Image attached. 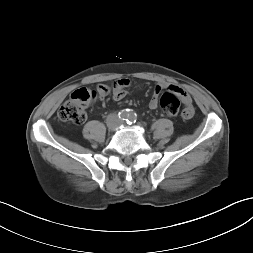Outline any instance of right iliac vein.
Instances as JSON below:
<instances>
[{
  "mask_svg": "<svg viewBox=\"0 0 253 253\" xmlns=\"http://www.w3.org/2000/svg\"><path fill=\"white\" fill-rule=\"evenodd\" d=\"M109 128H110V129H112V128H113V126H112L111 124H109Z\"/></svg>",
  "mask_w": 253,
  "mask_h": 253,
  "instance_id": "obj_1",
  "label": "right iliac vein"
}]
</instances>
